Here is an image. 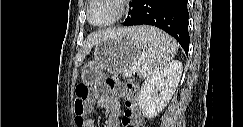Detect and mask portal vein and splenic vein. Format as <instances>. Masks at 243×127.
Listing matches in <instances>:
<instances>
[{
  "instance_id": "obj_1",
  "label": "portal vein and splenic vein",
  "mask_w": 243,
  "mask_h": 127,
  "mask_svg": "<svg viewBox=\"0 0 243 127\" xmlns=\"http://www.w3.org/2000/svg\"><path fill=\"white\" fill-rule=\"evenodd\" d=\"M133 70H136V67L135 66L133 67Z\"/></svg>"
}]
</instances>
